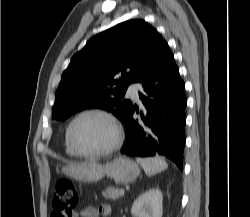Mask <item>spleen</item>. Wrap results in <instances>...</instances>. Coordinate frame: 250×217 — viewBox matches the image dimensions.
Here are the masks:
<instances>
[{"label": "spleen", "mask_w": 250, "mask_h": 217, "mask_svg": "<svg viewBox=\"0 0 250 217\" xmlns=\"http://www.w3.org/2000/svg\"><path fill=\"white\" fill-rule=\"evenodd\" d=\"M136 160L148 176L155 175L168 167L167 162L162 157L137 158Z\"/></svg>", "instance_id": "1"}]
</instances>
